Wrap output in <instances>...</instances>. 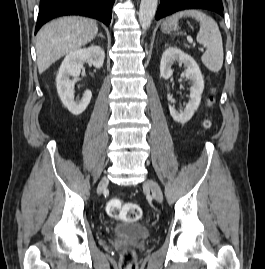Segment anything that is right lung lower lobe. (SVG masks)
I'll use <instances>...</instances> for the list:
<instances>
[{
    "mask_svg": "<svg viewBox=\"0 0 265 269\" xmlns=\"http://www.w3.org/2000/svg\"><path fill=\"white\" fill-rule=\"evenodd\" d=\"M115 0H40L35 33L49 20L64 15H82L98 19L107 26Z\"/></svg>",
    "mask_w": 265,
    "mask_h": 269,
    "instance_id": "1",
    "label": "right lung lower lobe"
}]
</instances>
